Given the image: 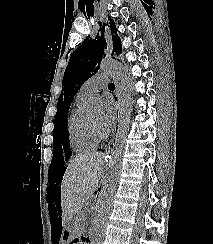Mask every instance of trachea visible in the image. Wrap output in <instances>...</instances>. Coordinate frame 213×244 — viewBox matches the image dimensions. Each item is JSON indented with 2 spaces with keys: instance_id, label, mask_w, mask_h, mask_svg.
Segmentation results:
<instances>
[{
  "instance_id": "trachea-1",
  "label": "trachea",
  "mask_w": 213,
  "mask_h": 244,
  "mask_svg": "<svg viewBox=\"0 0 213 244\" xmlns=\"http://www.w3.org/2000/svg\"><path fill=\"white\" fill-rule=\"evenodd\" d=\"M109 88H115V85L113 83L109 84Z\"/></svg>"
}]
</instances>
